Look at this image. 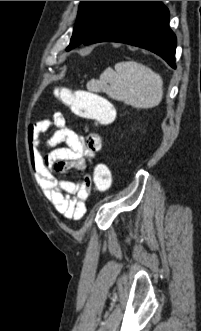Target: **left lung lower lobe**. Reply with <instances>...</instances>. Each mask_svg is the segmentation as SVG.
Wrapping results in <instances>:
<instances>
[{
    "mask_svg": "<svg viewBox=\"0 0 201 331\" xmlns=\"http://www.w3.org/2000/svg\"><path fill=\"white\" fill-rule=\"evenodd\" d=\"M106 41L150 50L176 68V36L169 28V11L161 1H120L82 43Z\"/></svg>",
    "mask_w": 201,
    "mask_h": 331,
    "instance_id": "1",
    "label": "left lung lower lobe"
}]
</instances>
